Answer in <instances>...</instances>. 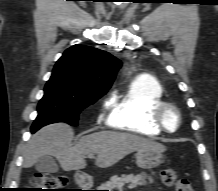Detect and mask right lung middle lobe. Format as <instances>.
I'll return each instance as SVG.
<instances>
[{"label":"right lung middle lobe","mask_w":218,"mask_h":191,"mask_svg":"<svg viewBox=\"0 0 218 191\" xmlns=\"http://www.w3.org/2000/svg\"><path fill=\"white\" fill-rule=\"evenodd\" d=\"M104 94L77 90L61 78L52 75L45 85L44 96L38 104V116L31 131L34 133L41 127L55 122H65L76 126L79 113Z\"/></svg>","instance_id":"obj_1"}]
</instances>
